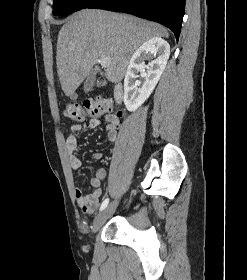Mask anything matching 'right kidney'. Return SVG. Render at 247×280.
<instances>
[{"label": "right kidney", "instance_id": "ca27d5eb", "mask_svg": "<svg viewBox=\"0 0 247 280\" xmlns=\"http://www.w3.org/2000/svg\"><path fill=\"white\" fill-rule=\"evenodd\" d=\"M170 55V45L161 37L144 42L132 55L124 79V103L128 111H136L151 95ZM152 60L147 65L145 60ZM146 69L145 82L140 86L138 73Z\"/></svg>", "mask_w": 247, "mask_h": 280}]
</instances>
